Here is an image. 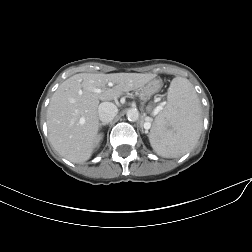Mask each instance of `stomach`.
I'll return each mask as SVG.
<instances>
[{
  "instance_id": "obj_1",
  "label": "stomach",
  "mask_w": 252,
  "mask_h": 252,
  "mask_svg": "<svg viewBox=\"0 0 252 252\" xmlns=\"http://www.w3.org/2000/svg\"><path fill=\"white\" fill-rule=\"evenodd\" d=\"M161 87H162L161 81L153 79L141 88L140 94L145 99H149L152 95L157 93L161 89Z\"/></svg>"
}]
</instances>
